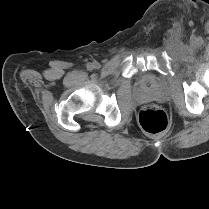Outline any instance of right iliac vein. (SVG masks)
<instances>
[{"instance_id": "right-iliac-vein-1", "label": "right iliac vein", "mask_w": 209, "mask_h": 209, "mask_svg": "<svg viewBox=\"0 0 209 209\" xmlns=\"http://www.w3.org/2000/svg\"><path fill=\"white\" fill-rule=\"evenodd\" d=\"M95 68L99 69L100 68V64H96Z\"/></svg>"}]
</instances>
